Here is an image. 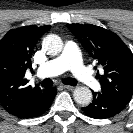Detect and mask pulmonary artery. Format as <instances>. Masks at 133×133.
I'll return each mask as SVG.
<instances>
[{
    "label": "pulmonary artery",
    "instance_id": "1",
    "mask_svg": "<svg viewBox=\"0 0 133 133\" xmlns=\"http://www.w3.org/2000/svg\"><path fill=\"white\" fill-rule=\"evenodd\" d=\"M70 70L87 86L98 89L99 83L91 71L83 64L80 51L73 41H67L62 53L41 65L37 70L39 77H51Z\"/></svg>",
    "mask_w": 133,
    "mask_h": 133
}]
</instances>
